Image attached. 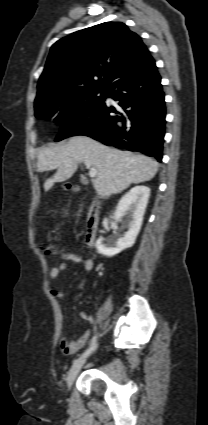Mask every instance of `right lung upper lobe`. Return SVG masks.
<instances>
[{"instance_id":"cb5924a9","label":"right lung upper lobe","mask_w":208,"mask_h":425,"mask_svg":"<svg viewBox=\"0 0 208 425\" xmlns=\"http://www.w3.org/2000/svg\"><path fill=\"white\" fill-rule=\"evenodd\" d=\"M147 54L141 37L122 22L74 32L51 47L35 102L82 89L107 88L121 71Z\"/></svg>"}]
</instances>
